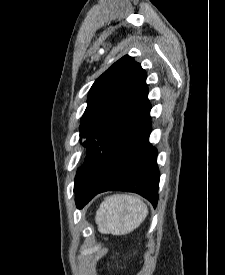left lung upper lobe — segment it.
<instances>
[{
	"label": "left lung upper lobe",
	"instance_id": "obj_1",
	"mask_svg": "<svg viewBox=\"0 0 225 275\" xmlns=\"http://www.w3.org/2000/svg\"><path fill=\"white\" fill-rule=\"evenodd\" d=\"M87 103L80 125L87 157L78 170L74 189L151 108L146 72L132 57H122L94 82Z\"/></svg>",
	"mask_w": 225,
	"mask_h": 275
}]
</instances>
